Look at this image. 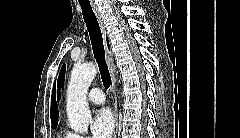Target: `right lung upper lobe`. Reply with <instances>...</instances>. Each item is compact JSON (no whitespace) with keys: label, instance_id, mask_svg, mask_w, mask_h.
I'll list each match as a JSON object with an SVG mask.
<instances>
[{"label":"right lung upper lobe","instance_id":"cb5924a9","mask_svg":"<svg viewBox=\"0 0 240 138\" xmlns=\"http://www.w3.org/2000/svg\"><path fill=\"white\" fill-rule=\"evenodd\" d=\"M108 43V42H107ZM50 114H51V123L53 125L58 124V117H59V112L57 110V104H56V99H55V85L53 87V92H52V97H51V109H50Z\"/></svg>","mask_w":240,"mask_h":138}]
</instances>
